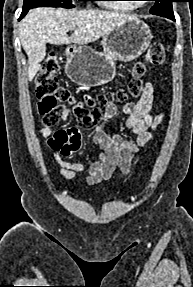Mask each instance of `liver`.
<instances>
[{"label":"liver","mask_w":193,"mask_h":287,"mask_svg":"<svg viewBox=\"0 0 193 287\" xmlns=\"http://www.w3.org/2000/svg\"><path fill=\"white\" fill-rule=\"evenodd\" d=\"M134 16L104 10H65L36 8L28 12L20 23V41L28 56V79L31 81L41 69L46 44L84 45L108 34L116 26ZM74 31L71 37L68 31Z\"/></svg>","instance_id":"6515ba94"}]
</instances>
